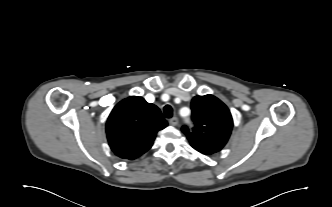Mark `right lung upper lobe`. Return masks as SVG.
<instances>
[{"label":"right lung upper lobe","mask_w":332,"mask_h":207,"mask_svg":"<svg viewBox=\"0 0 332 207\" xmlns=\"http://www.w3.org/2000/svg\"><path fill=\"white\" fill-rule=\"evenodd\" d=\"M166 126L157 106L130 96L110 113L106 133L112 151L120 158L133 160L151 148L157 132Z\"/></svg>","instance_id":"1"}]
</instances>
